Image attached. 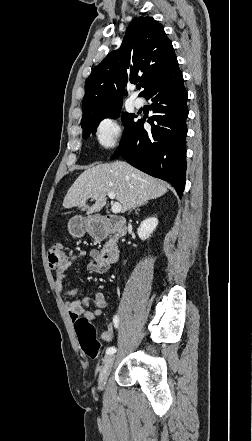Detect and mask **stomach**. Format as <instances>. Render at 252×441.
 Masks as SVG:
<instances>
[{"label":"stomach","instance_id":"stomach-1","mask_svg":"<svg viewBox=\"0 0 252 441\" xmlns=\"http://www.w3.org/2000/svg\"><path fill=\"white\" fill-rule=\"evenodd\" d=\"M68 228L70 233L76 238L84 236L85 232L92 234L94 229V219L92 217L85 218L79 215L74 216L70 219Z\"/></svg>","mask_w":252,"mask_h":441}]
</instances>
